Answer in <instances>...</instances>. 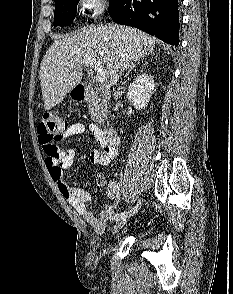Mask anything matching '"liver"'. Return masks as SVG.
I'll return each instance as SVG.
<instances>
[{"mask_svg":"<svg viewBox=\"0 0 233 294\" xmlns=\"http://www.w3.org/2000/svg\"><path fill=\"white\" fill-rule=\"evenodd\" d=\"M155 43V38L138 29L110 24L86 27L78 35L56 39L40 65L44 109L62 102L81 83L84 59L104 64L109 82L114 85L123 71L154 50Z\"/></svg>","mask_w":233,"mask_h":294,"instance_id":"obj_1","label":"liver"}]
</instances>
